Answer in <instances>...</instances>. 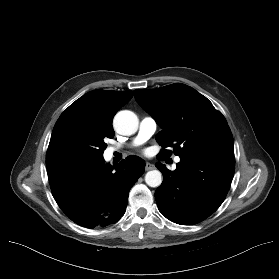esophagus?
<instances>
[{
	"label": "esophagus",
	"instance_id": "obj_1",
	"mask_svg": "<svg viewBox=\"0 0 279 279\" xmlns=\"http://www.w3.org/2000/svg\"><path fill=\"white\" fill-rule=\"evenodd\" d=\"M154 168H155V167H154V165H153L152 163L146 162V165H145V170H146V171L152 170V169H154Z\"/></svg>",
	"mask_w": 279,
	"mask_h": 279
}]
</instances>
